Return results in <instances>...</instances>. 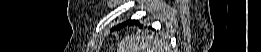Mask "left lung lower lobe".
<instances>
[{
	"mask_svg": "<svg viewBox=\"0 0 261 52\" xmlns=\"http://www.w3.org/2000/svg\"><path fill=\"white\" fill-rule=\"evenodd\" d=\"M138 21H135L134 23H137ZM134 23H130V24H134ZM125 26V25H124ZM120 27H123V26H119L118 28H120Z\"/></svg>",
	"mask_w": 261,
	"mask_h": 52,
	"instance_id": "left-lung-lower-lobe-1",
	"label": "left lung lower lobe"
}]
</instances>
